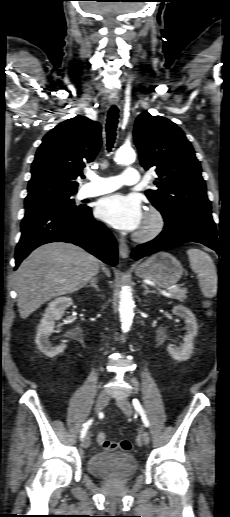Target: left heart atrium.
Segmentation results:
<instances>
[{
	"instance_id": "left-heart-atrium-1",
	"label": "left heart atrium",
	"mask_w": 230,
	"mask_h": 517,
	"mask_svg": "<svg viewBox=\"0 0 230 517\" xmlns=\"http://www.w3.org/2000/svg\"><path fill=\"white\" fill-rule=\"evenodd\" d=\"M96 212L100 219L123 231L138 229L144 220L141 202L133 195L107 196L98 202Z\"/></svg>"
}]
</instances>
